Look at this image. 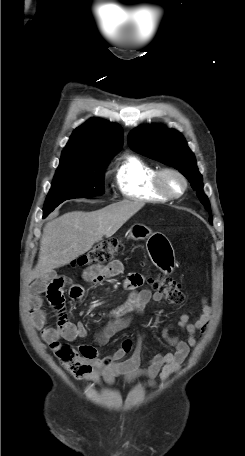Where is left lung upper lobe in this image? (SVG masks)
I'll use <instances>...</instances> for the list:
<instances>
[{
	"label": "left lung upper lobe",
	"instance_id": "5c2ea615",
	"mask_svg": "<svg viewBox=\"0 0 245 456\" xmlns=\"http://www.w3.org/2000/svg\"><path fill=\"white\" fill-rule=\"evenodd\" d=\"M128 145L136 152L178 169L210 212V203L203 192L202 176L195 156L178 131L153 125L138 127L129 134ZM209 221L212 222V218Z\"/></svg>",
	"mask_w": 245,
	"mask_h": 456
}]
</instances>
